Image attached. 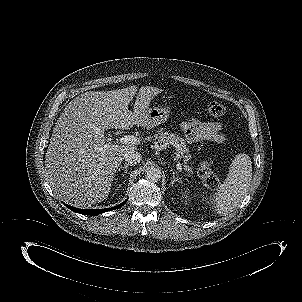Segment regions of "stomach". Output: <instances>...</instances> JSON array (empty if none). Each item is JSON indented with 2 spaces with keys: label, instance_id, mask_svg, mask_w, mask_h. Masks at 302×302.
<instances>
[{
  "label": "stomach",
  "instance_id": "stomach-1",
  "mask_svg": "<svg viewBox=\"0 0 302 302\" xmlns=\"http://www.w3.org/2000/svg\"><path fill=\"white\" fill-rule=\"evenodd\" d=\"M169 113L170 106L150 108L146 113V127L153 128L166 122Z\"/></svg>",
  "mask_w": 302,
  "mask_h": 302
}]
</instances>
